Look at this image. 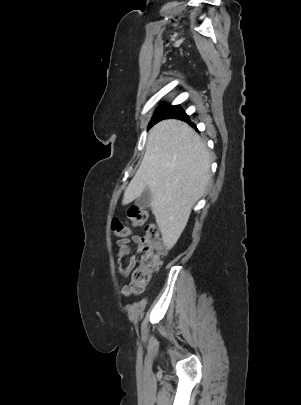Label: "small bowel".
<instances>
[{
  "mask_svg": "<svg viewBox=\"0 0 301 405\" xmlns=\"http://www.w3.org/2000/svg\"><path fill=\"white\" fill-rule=\"evenodd\" d=\"M131 244H134L138 248V252L141 250L142 240L138 235H131L130 237H123L118 240V267L122 275L128 276L136 264V256L131 257L130 261L125 264L124 259L130 254L131 252ZM129 292L127 287L123 288V293L127 294Z\"/></svg>",
  "mask_w": 301,
  "mask_h": 405,
  "instance_id": "1",
  "label": "small bowel"
}]
</instances>
